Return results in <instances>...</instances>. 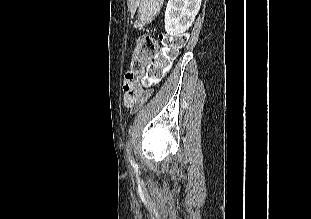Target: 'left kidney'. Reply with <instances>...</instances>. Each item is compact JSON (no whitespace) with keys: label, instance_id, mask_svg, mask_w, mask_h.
Wrapping results in <instances>:
<instances>
[{"label":"left kidney","instance_id":"5707ae66","mask_svg":"<svg viewBox=\"0 0 311 219\" xmlns=\"http://www.w3.org/2000/svg\"><path fill=\"white\" fill-rule=\"evenodd\" d=\"M202 0H168L165 11V31L175 36L192 25Z\"/></svg>","mask_w":311,"mask_h":219}]
</instances>
